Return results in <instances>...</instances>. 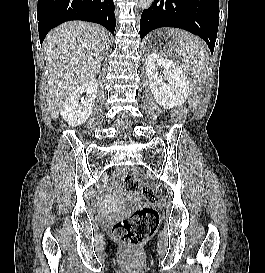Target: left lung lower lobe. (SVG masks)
<instances>
[{"label":"left lung lower lobe","instance_id":"left-lung-lower-lobe-1","mask_svg":"<svg viewBox=\"0 0 265 273\" xmlns=\"http://www.w3.org/2000/svg\"><path fill=\"white\" fill-rule=\"evenodd\" d=\"M219 25V0H154L142 12L140 38L160 27L181 28L200 36L213 53Z\"/></svg>","mask_w":265,"mask_h":273}]
</instances>
